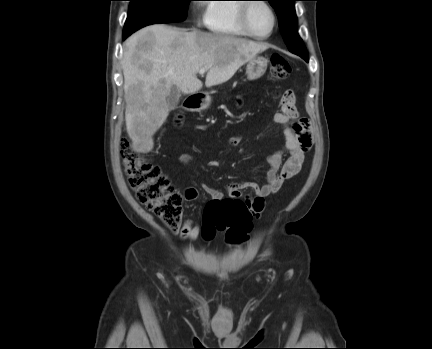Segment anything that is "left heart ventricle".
<instances>
[{"label": "left heart ventricle", "instance_id": "b2bd125f", "mask_svg": "<svg viewBox=\"0 0 432 349\" xmlns=\"http://www.w3.org/2000/svg\"><path fill=\"white\" fill-rule=\"evenodd\" d=\"M251 30L258 35L267 34L272 27V15L269 9L260 3L254 4L248 15Z\"/></svg>", "mask_w": 432, "mask_h": 349}]
</instances>
